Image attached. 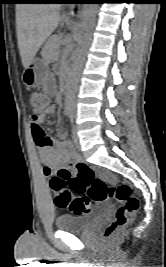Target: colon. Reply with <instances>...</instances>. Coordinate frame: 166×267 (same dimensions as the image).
<instances>
[{
  "mask_svg": "<svg viewBox=\"0 0 166 267\" xmlns=\"http://www.w3.org/2000/svg\"><path fill=\"white\" fill-rule=\"evenodd\" d=\"M28 99L33 115L51 107L50 97L43 92L32 91ZM37 137L43 139V132L38 131ZM112 180V175H98L93 168L79 160L70 168H59L50 179V187L55 193L56 206L67 208L76 215L89 213L94 202L116 200L120 206L115 218L104 229V238L110 239L133 220L139 207V201L133 196L131 187L126 183L110 185ZM67 187L78 196H73Z\"/></svg>",
  "mask_w": 166,
  "mask_h": 267,
  "instance_id": "obj_1",
  "label": "colon"
}]
</instances>
